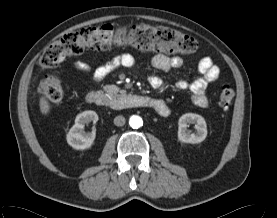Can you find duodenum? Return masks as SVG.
Returning a JSON list of instances; mask_svg holds the SVG:
<instances>
[{
  "label": "duodenum",
  "instance_id": "duodenum-1",
  "mask_svg": "<svg viewBox=\"0 0 277 218\" xmlns=\"http://www.w3.org/2000/svg\"><path fill=\"white\" fill-rule=\"evenodd\" d=\"M86 100L90 104H93L99 107H105L115 111L128 109V108H136V107H146L157 111L158 108L162 106L161 100L154 99L152 97H149L146 95H140V94H125L113 100H110L107 97V95L102 91H90L86 95ZM168 114H169V108L166 114L164 115L160 114V115L167 116Z\"/></svg>",
  "mask_w": 277,
  "mask_h": 218
}]
</instances>
